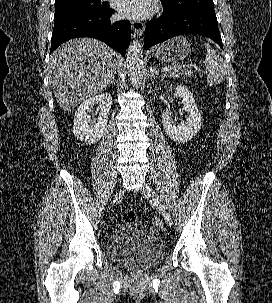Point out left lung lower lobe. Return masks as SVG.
<instances>
[{
  "label": "left lung lower lobe",
  "mask_w": 272,
  "mask_h": 303,
  "mask_svg": "<svg viewBox=\"0 0 272 303\" xmlns=\"http://www.w3.org/2000/svg\"><path fill=\"white\" fill-rule=\"evenodd\" d=\"M199 34L215 41L222 49V39L214 11H185L164 15L146 25L144 48L148 49L174 36Z\"/></svg>",
  "instance_id": "obj_1"
}]
</instances>
